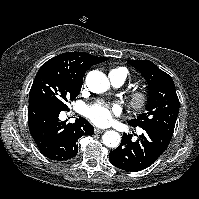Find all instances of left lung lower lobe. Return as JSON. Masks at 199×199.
Segmentation results:
<instances>
[{"mask_svg":"<svg viewBox=\"0 0 199 199\" xmlns=\"http://www.w3.org/2000/svg\"><path fill=\"white\" fill-rule=\"evenodd\" d=\"M136 141L131 134H123L119 147L111 151L109 161L115 167L137 172L147 168L166 150L172 136L157 129H143Z\"/></svg>","mask_w":199,"mask_h":199,"instance_id":"obj_1","label":"left lung lower lobe"}]
</instances>
